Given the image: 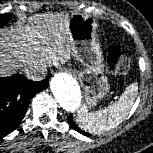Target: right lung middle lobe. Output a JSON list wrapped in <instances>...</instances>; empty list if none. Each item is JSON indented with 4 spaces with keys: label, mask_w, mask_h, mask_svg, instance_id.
<instances>
[{
    "label": "right lung middle lobe",
    "mask_w": 153,
    "mask_h": 153,
    "mask_svg": "<svg viewBox=\"0 0 153 153\" xmlns=\"http://www.w3.org/2000/svg\"><path fill=\"white\" fill-rule=\"evenodd\" d=\"M11 19V14L0 15V27L5 25Z\"/></svg>",
    "instance_id": "right-lung-middle-lobe-1"
}]
</instances>
